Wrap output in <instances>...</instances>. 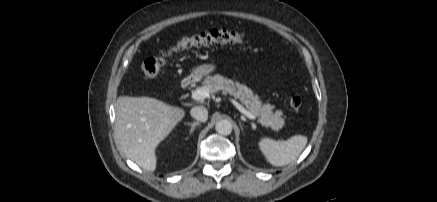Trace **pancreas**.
I'll return each instance as SVG.
<instances>
[{"mask_svg": "<svg viewBox=\"0 0 437 202\" xmlns=\"http://www.w3.org/2000/svg\"><path fill=\"white\" fill-rule=\"evenodd\" d=\"M202 86L208 88L212 93L221 91L224 95L229 94L239 99L249 112L260 118V123L267 128L269 127L272 130L278 131L284 126L285 121L281 118L283 112L281 110L274 112L273 105L269 103L263 104L259 96L254 94L253 91L244 84L233 82L231 79L216 74L206 77L202 82Z\"/></svg>", "mask_w": 437, "mask_h": 202, "instance_id": "obj_1", "label": "pancreas"}]
</instances>
